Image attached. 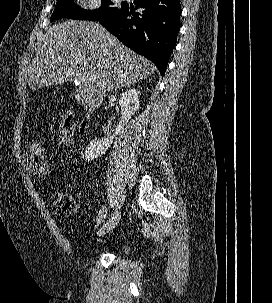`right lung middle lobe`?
<instances>
[{
    "instance_id": "1",
    "label": "right lung middle lobe",
    "mask_w": 272,
    "mask_h": 303,
    "mask_svg": "<svg viewBox=\"0 0 272 303\" xmlns=\"http://www.w3.org/2000/svg\"><path fill=\"white\" fill-rule=\"evenodd\" d=\"M112 4L111 0H102L99 9L85 10L77 6L73 0H58L51 21L64 17L74 20L100 21L116 15L124 8V6L121 8L112 7Z\"/></svg>"
}]
</instances>
